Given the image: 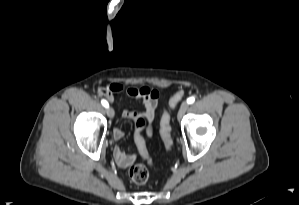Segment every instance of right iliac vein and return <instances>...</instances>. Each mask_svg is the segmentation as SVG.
Listing matches in <instances>:
<instances>
[{"label":"right iliac vein","instance_id":"1","mask_svg":"<svg viewBox=\"0 0 299 205\" xmlns=\"http://www.w3.org/2000/svg\"><path fill=\"white\" fill-rule=\"evenodd\" d=\"M107 115L110 117V118H113L114 115H115V112H114V109L112 107H108L107 108Z\"/></svg>","mask_w":299,"mask_h":205}]
</instances>
